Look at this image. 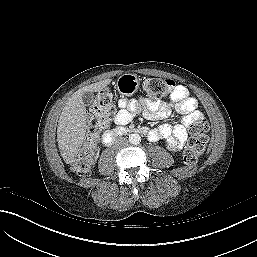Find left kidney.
I'll list each match as a JSON object with an SVG mask.
<instances>
[{"mask_svg":"<svg viewBox=\"0 0 257 257\" xmlns=\"http://www.w3.org/2000/svg\"><path fill=\"white\" fill-rule=\"evenodd\" d=\"M168 149L172 150V151H176L174 148H172L171 146L168 145Z\"/></svg>","mask_w":257,"mask_h":257,"instance_id":"left-kidney-1","label":"left kidney"}]
</instances>
